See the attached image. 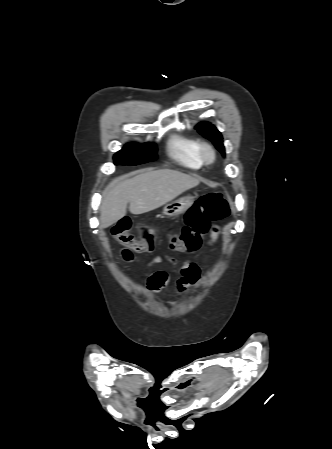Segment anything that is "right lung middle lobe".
Returning <instances> with one entry per match:
<instances>
[{"instance_id":"dd1d6c3e","label":"right lung middle lobe","mask_w":332,"mask_h":449,"mask_svg":"<svg viewBox=\"0 0 332 449\" xmlns=\"http://www.w3.org/2000/svg\"><path fill=\"white\" fill-rule=\"evenodd\" d=\"M156 146L148 143L145 145L128 144L114 155L115 165H138L154 161L156 156Z\"/></svg>"}]
</instances>
